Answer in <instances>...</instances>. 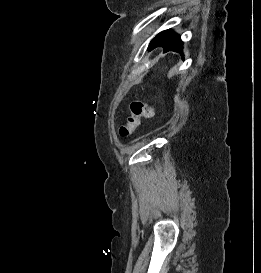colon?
Instances as JSON below:
<instances>
[{
    "label": "colon",
    "instance_id": "1",
    "mask_svg": "<svg viewBox=\"0 0 261 273\" xmlns=\"http://www.w3.org/2000/svg\"><path fill=\"white\" fill-rule=\"evenodd\" d=\"M155 116V105L139 100L130 103V114L126 122L120 126L119 133L126 138L141 125L143 119H152Z\"/></svg>",
    "mask_w": 261,
    "mask_h": 273
}]
</instances>
